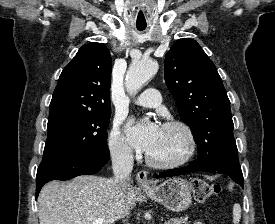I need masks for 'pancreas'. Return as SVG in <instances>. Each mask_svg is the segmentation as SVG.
<instances>
[{
  "instance_id": "pancreas-1",
  "label": "pancreas",
  "mask_w": 275,
  "mask_h": 224,
  "mask_svg": "<svg viewBox=\"0 0 275 224\" xmlns=\"http://www.w3.org/2000/svg\"><path fill=\"white\" fill-rule=\"evenodd\" d=\"M165 224H189L188 217L171 218Z\"/></svg>"
}]
</instances>
